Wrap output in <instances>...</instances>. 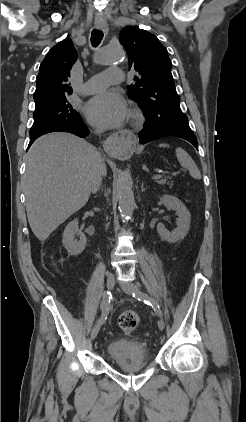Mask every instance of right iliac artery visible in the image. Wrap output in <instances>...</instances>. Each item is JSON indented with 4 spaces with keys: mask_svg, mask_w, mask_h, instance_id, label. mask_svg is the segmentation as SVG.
<instances>
[{
    "mask_svg": "<svg viewBox=\"0 0 246 422\" xmlns=\"http://www.w3.org/2000/svg\"><path fill=\"white\" fill-rule=\"evenodd\" d=\"M111 298H112V295L109 291L104 293L103 300H102V314L99 320L97 321V324H100V326L106 321L107 316L109 314Z\"/></svg>",
    "mask_w": 246,
    "mask_h": 422,
    "instance_id": "obj_1",
    "label": "right iliac artery"
}]
</instances>
